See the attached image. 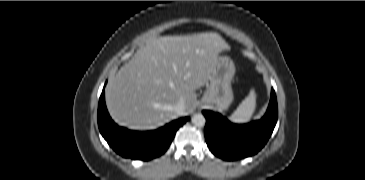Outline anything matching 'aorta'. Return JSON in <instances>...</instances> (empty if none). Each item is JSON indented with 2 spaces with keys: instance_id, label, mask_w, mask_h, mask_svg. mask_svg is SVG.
<instances>
[{
  "instance_id": "obj_1",
  "label": "aorta",
  "mask_w": 365,
  "mask_h": 180,
  "mask_svg": "<svg viewBox=\"0 0 365 180\" xmlns=\"http://www.w3.org/2000/svg\"><path fill=\"white\" fill-rule=\"evenodd\" d=\"M191 121L195 126L198 127H203L206 123V119L201 113L194 114Z\"/></svg>"
}]
</instances>
